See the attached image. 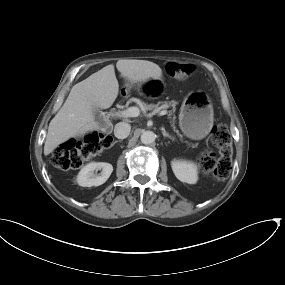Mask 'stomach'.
Returning <instances> with one entry per match:
<instances>
[{
    "label": "stomach",
    "instance_id": "obj_1",
    "mask_svg": "<svg viewBox=\"0 0 285 285\" xmlns=\"http://www.w3.org/2000/svg\"><path fill=\"white\" fill-rule=\"evenodd\" d=\"M156 81H148L143 92L146 91V86H151ZM213 120L212 105L202 93H193L184 99L179 114V126L187 137L203 139L211 131Z\"/></svg>",
    "mask_w": 285,
    "mask_h": 285
}]
</instances>
